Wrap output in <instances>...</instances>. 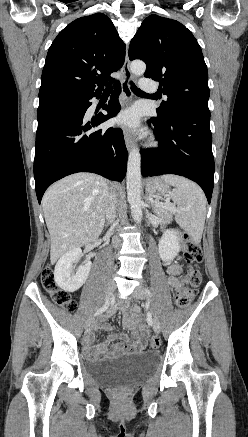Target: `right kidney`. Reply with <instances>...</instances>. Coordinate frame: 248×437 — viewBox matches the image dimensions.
I'll return each instance as SVG.
<instances>
[{"label":"right kidney","instance_id":"1","mask_svg":"<svg viewBox=\"0 0 248 437\" xmlns=\"http://www.w3.org/2000/svg\"><path fill=\"white\" fill-rule=\"evenodd\" d=\"M82 255L80 248L65 253L57 262L54 270V280L56 284L66 292L77 291L87 280L91 261L87 260L83 265L79 266L74 272L75 263H77Z\"/></svg>","mask_w":248,"mask_h":437}]
</instances>
